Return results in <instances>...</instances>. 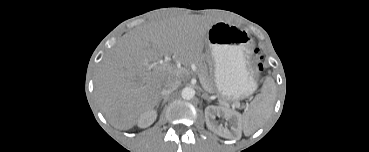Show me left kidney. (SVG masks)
<instances>
[{
	"label": "left kidney",
	"mask_w": 369,
	"mask_h": 152,
	"mask_svg": "<svg viewBox=\"0 0 369 152\" xmlns=\"http://www.w3.org/2000/svg\"><path fill=\"white\" fill-rule=\"evenodd\" d=\"M223 115V117L231 124V130L218 126L214 123L213 119L215 115ZM205 119L208 129L218 134L221 137L228 139H237L239 136V117L236 112L227 110L223 107L207 106L205 108Z\"/></svg>",
	"instance_id": "left-kidney-1"
}]
</instances>
